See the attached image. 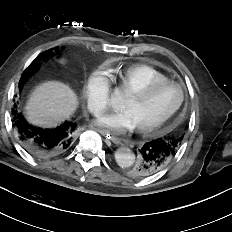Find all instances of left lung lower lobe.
Instances as JSON below:
<instances>
[{"label": "left lung lower lobe", "mask_w": 232, "mask_h": 232, "mask_svg": "<svg viewBox=\"0 0 232 232\" xmlns=\"http://www.w3.org/2000/svg\"><path fill=\"white\" fill-rule=\"evenodd\" d=\"M176 152L171 143L163 138L145 143L139 149L138 162L131 170L133 177H147L161 171L174 158Z\"/></svg>", "instance_id": "left-lung-lower-lobe-1"}]
</instances>
